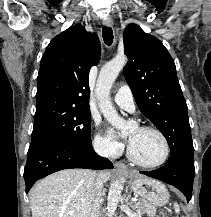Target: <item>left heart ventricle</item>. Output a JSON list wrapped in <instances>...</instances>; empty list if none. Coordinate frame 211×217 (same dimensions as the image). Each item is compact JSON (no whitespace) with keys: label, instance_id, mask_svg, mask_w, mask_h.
<instances>
[{"label":"left heart ventricle","instance_id":"obj_1","mask_svg":"<svg viewBox=\"0 0 211 217\" xmlns=\"http://www.w3.org/2000/svg\"><path fill=\"white\" fill-rule=\"evenodd\" d=\"M129 146L133 154L144 163H156L164 155V143L160 136L152 131L132 129L129 133Z\"/></svg>","mask_w":211,"mask_h":217}]
</instances>
